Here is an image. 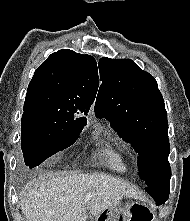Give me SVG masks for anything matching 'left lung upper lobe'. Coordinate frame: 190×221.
<instances>
[{
  "instance_id": "1",
  "label": "left lung upper lobe",
  "mask_w": 190,
  "mask_h": 221,
  "mask_svg": "<svg viewBox=\"0 0 190 221\" xmlns=\"http://www.w3.org/2000/svg\"><path fill=\"white\" fill-rule=\"evenodd\" d=\"M99 72L95 112L135 148L139 175L153 186L171 172L167 112L157 82L130 59L101 58Z\"/></svg>"
}]
</instances>
